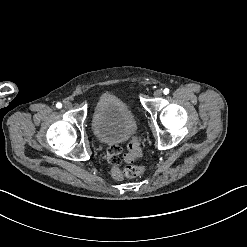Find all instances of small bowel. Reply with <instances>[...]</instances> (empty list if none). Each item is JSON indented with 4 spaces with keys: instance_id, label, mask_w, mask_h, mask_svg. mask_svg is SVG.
I'll return each instance as SVG.
<instances>
[{
    "instance_id": "obj_1",
    "label": "small bowel",
    "mask_w": 247,
    "mask_h": 247,
    "mask_svg": "<svg viewBox=\"0 0 247 247\" xmlns=\"http://www.w3.org/2000/svg\"><path fill=\"white\" fill-rule=\"evenodd\" d=\"M122 154V149L119 146H113L108 150V155L111 157L109 159V164L112 167H117L120 164V159L118 158Z\"/></svg>"
}]
</instances>
